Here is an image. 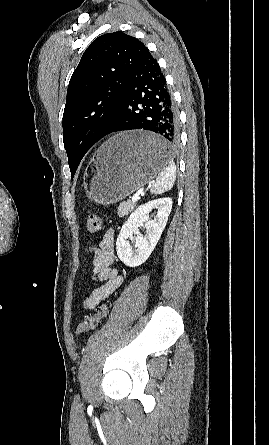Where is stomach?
<instances>
[{"label":"stomach","mask_w":269,"mask_h":445,"mask_svg":"<svg viewBox=\"0 0 269 445\" xmlns=\"http://www.w3.org/2000/svg\"><path fill=\"white\" fill-rule=\"evenodd\" d=\"M169 160L161 137L140 130L118 133L92 159L86 172L88 197L97 204L117 203L152 181Z\"/></svg>","instance_id":"0dacf381"}]
</instances>
